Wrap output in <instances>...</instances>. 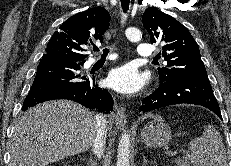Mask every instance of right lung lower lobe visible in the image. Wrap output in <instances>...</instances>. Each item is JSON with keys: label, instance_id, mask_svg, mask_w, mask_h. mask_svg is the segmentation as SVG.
Masks as SVG:
<instances>
[{"label": "right lung lower lobe", "instance_id": "98d812e1", "mask_svg": "<svg viewBox=\"0 0 231 166\" xmlns=\"http://www.w3.org/2000/svg\"><path fill=\"white\" fill-rule=\"evenodd\" d=\"M84 62L43 55L26 96L22 110L54 99H70L87 108L109 113L113 99L106 89L95 83V77L79 72Z\"/></svg>", "mask_w": 231, "mask_h": 166}]
</instances>
